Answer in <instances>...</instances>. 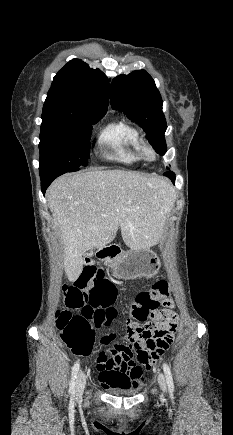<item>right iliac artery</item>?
<instances>
[{
    "instance_id": "82829eb1",
    "label": "right iliac artery",
    "mask_w": 233,
    "mask_h": 435,
    "mask_svg": "<svg viewBox=\"0 0 233 435\" xmlns=\"http://www.w3.org/2000/svg\"><path fill=\"white\" fill-rule=\"evenodd\" d=\"M79 364L75 363L73 368H72V376H71V381H70V387H69V394L73 397L75 395V379L77 377V373L79 371Z\"/></svg>"
}]
</instances>
